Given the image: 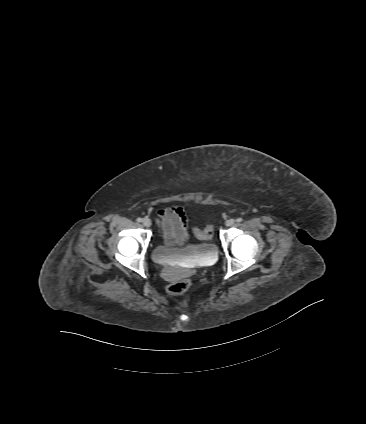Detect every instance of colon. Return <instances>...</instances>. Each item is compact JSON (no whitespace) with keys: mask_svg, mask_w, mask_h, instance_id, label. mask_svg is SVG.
Returning a JSON list of instances; mask_svg holds the SVG:
<instances>
[{"mask_svg":"<svg viewBox=\"0 0 366 424\" xmlns=\"http://www.w3.org/2000/svg\"><path fill=\"white\" fill-rule=\"evenodd\" d=\"M193 232L195 236L199 239H203V240L210 239L213 236V226L208 225L204 229L194 228ZM189 286H190V281L188 279H182V280L169 284V286L167 287V292L173 296L181 295L187 291Z\"/></svg>","mask_w":366,"mask_h":424,"instance_id":"1","label":"colon"}]
</instances>
